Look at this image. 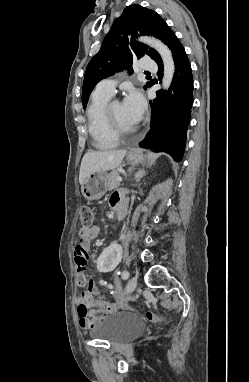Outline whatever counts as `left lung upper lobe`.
I'll list each match as a JSON object with an SVG mask.
<instances>
[{"label":"left lung upper lobe","instance_id":"obj_1","mask_svg":"<svg viewBox=\"0 0 249 382\" xmlns=\"http://www.w3.org/2000/svg\"><path fill=\"white\" fill-rule=\"evenodd\" d=\"M139 34L154 35L168 47L176 37L155 11L136 4L126 7L122 15L114 21L100 51L87 66L82 90L83 108L86 107L91 91L100 80L123 69L132 74L133 61L145 54L156 62L161 59L153 48L135 40ZM150 86L151 82H147L144 89Z\"/></svg>","mask_w":249,"mask_h":382}]
</instances>
